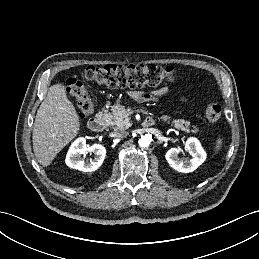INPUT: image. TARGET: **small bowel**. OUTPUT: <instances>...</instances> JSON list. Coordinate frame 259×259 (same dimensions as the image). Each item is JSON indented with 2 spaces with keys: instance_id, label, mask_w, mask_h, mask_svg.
<instances>
[{
  "instance_id": "1",
  "label": "small bowel",
  "mask_w": 259,
  "mask_h": 259,
  "mask_svg": "<svg viewBox=\"0 0 259 259\" xmlns=\"http://www.w3.org/2000/svg\"><path fill=\"white\" fill-rule=\"evenodd\" d=\"M168 92V87H162L156 90L153 94H148L145 92H132L130 95L137 101L141 102H154L156 96L164 95Z\"/></svg>"
}]
</instances>
